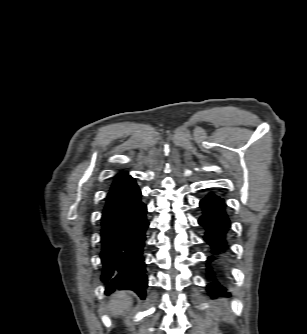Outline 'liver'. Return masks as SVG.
Returning <instances> with one entry per match:
<instances>
[{
  "instance_id": "liver-1",
  "label": "liver",
  "mask_w": 307,
  "mask_h": 334,
  "mask_svg": "<svg viewBox=\"0 0 307 334\" xmlns=\"http://www.w3.org/2000/svg\"><path fill=\"white\" fill-rule=\"evenodd\" d=\"M112 297V300L108 304V309L114 317L128 310L133 302L127 291H117Z\"/></svg>"
}]
</instances>
